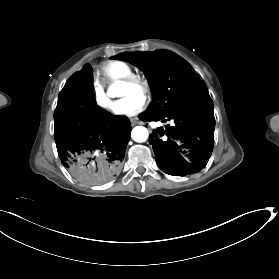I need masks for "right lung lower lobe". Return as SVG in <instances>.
Returning a JSON list of instances; mask_svg holds the SVG:
<instances>
[{
  "label": "right lung lower lobe",
  "instance_id": "1",
  "mask_svg": "<svg viewBox=\"0 0 279 279\" xmlns=\"http://www.w3.org/2000/svg\"><path fill=\"white\" fill-rule=\"evenodd\" d=\"M93 70L85 64L61 90L54 112L55 142L63 166L79 181L107 183L118 176L130 139V121L99 107Z\"/></svg>",
  "mask_w": 279,
  "mask_h": 279
}]
</instances>
